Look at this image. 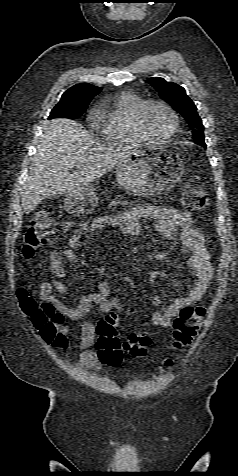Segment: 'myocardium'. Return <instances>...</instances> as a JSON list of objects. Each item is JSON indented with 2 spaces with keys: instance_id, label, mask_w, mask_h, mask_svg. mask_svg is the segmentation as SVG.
Here are the masks:
<instances>
[{
  "instance_id": "myocardium-1",
  "label": "myocardium",
  "mask_w": 238,
  "mask_h": 476,
  "mask_svg": "<svg viewBox=\"0 0 238 476\" xmlns=\"http://www.w3.org/2000/svg\"><path fill=\"white\" fill-rule=\"evenodd\" d=\"M153 105H159L163 107L170 115L172 119V128L170 132L163 138L156 139L150 136L145 128L144 125V116L147 111V109ZM135 127L138 132V134L141 136V138L148 143H153V144H164L169 142L178 132L179 129V118L175 110L169 105L167 102L161 99H150L144 101L138 108L135 116Z\"/></svg>"
}]
</instances>
